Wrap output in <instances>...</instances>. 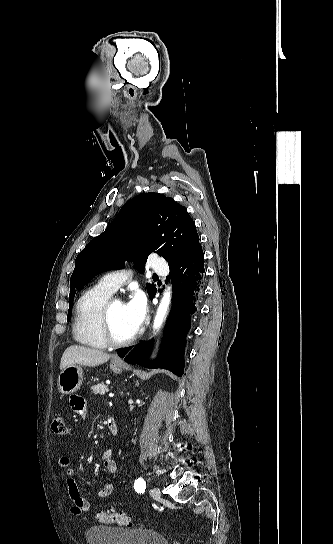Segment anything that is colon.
Listing matches in <instances>:
<instances>
[{"label":"colon","mask_w":333,"mask_h":544,"mask_svg":"<svg viewBox=\"0 0 333 544\" xmlns=\"http://www.w3.org/2000/svg\"><path fill=\"white\" fill-rule=\"evenodd\" d=\"M52 430L57 435H67L68 429L63 417H55L52 421ZM95 519L100 523L105 524H119L129 526L133 523L132 516L125 512L119 511H106V512H97L95 514Z\"/></svg>","instance_id":"colon-1"}]
</instances>
